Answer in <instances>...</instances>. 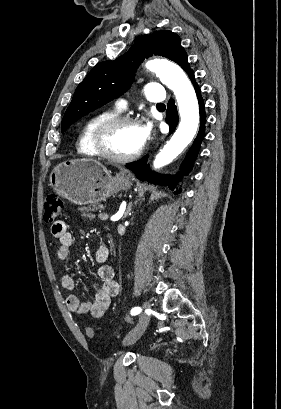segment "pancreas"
Instances as JSON below:
<instances>
[{
	"label": "pancreas",
	"instance_id": "pancreas-1",
	"mask_svg": "<svg viewBox=\"0 0 281 409\" xmlns=\"http://www.w3.org/2000/svg\"><path fill=\"white\" fill-rule=\"evenodd\" d=\"M98 209H104L103 205H98ZM79 211H83L82 217H88V219H95V215H92V213H89V211H94V209H90V207H82V209H79ZM86 211H87V215H86Z\"/></svg>",
	"mask_w": 281,
	"mask_h": 409
}]
</instances>
